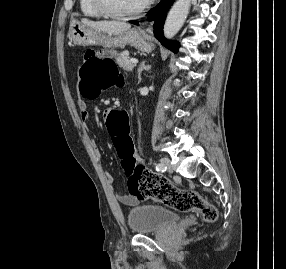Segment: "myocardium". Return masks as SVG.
<instances>
[{"label": "myocardium", "instance_id": "obj_1", "mask_svg": "<svg viewBox=\"0 0 286 269\" xmlns=\"http://www.w3.org/2000/svg\"><path fill=\"white\" fill-rule=\"evenodd\" d=\"M97 10L105 17L113 19H128L136 17L142 14L150 5V2H146L141 7L130 12H118L113 10L106 0H93Z\"/></svg>", "mask_w": 286, "mask_h": 269}]
</instances>
